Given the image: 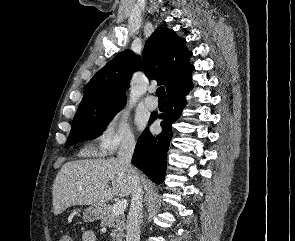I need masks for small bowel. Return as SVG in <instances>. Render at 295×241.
I'll return each instance as SVG.
<instances>
[{
  "label": "small bowel",
  "mask_w": 295,
  "mask_h": 241,
  "mask_svg": "<svg viewBox=\"0 0 295 241\" xmlns=\"http://www.w3.org/2000/svg\"><path fill=\"white\" fill-rule=\"evenodd\" d=\"M59 241H72V239L62 237ZM82 241H96L95 232L92 230H85L82 234Z\"/></svg>",
  "instance_id": "c3829d8e"
}]
</instances>
